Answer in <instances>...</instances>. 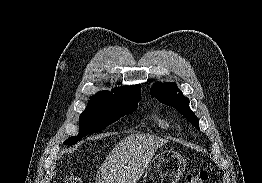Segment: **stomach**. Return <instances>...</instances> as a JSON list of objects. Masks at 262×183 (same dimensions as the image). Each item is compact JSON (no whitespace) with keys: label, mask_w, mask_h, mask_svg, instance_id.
Returning a JSON list of instances; mask_svg holds the SVG:
<instances>
[{"label":"stomach","mask_w":262,"mask_h":183,"mask_svg":"<svg viewBox=\"0 0 262 183\" xmlns=\"http://www.w3.org/2000/svg\"><path fill=\"white\" fill-rule=\"evenodd\" d=\"M185 166L186 161L178 152H161L146 168L142 183H178Z\"/></svg>","instance_id":"0dacf381"}]
</instances>
